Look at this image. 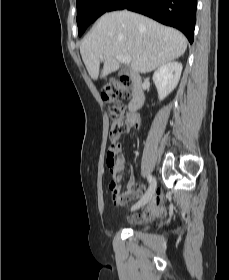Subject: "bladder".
<instances>
[{
	"instance_id": "31cf9c89",
	"label": "bladder",
	"mask_w": 229,
	"mask_h": 280,
	"mask_svg": "<svg viewBox=\"0 0 229 280\" xmlns=\"http://www.w3.org/2000/svg\"><path fill=\"white\" fill-rule=\"evenodd\" d=\"M140 224L146 226V225H147V222H146V221H143V222H141Z\"/></svg>"
}]
</instances>
